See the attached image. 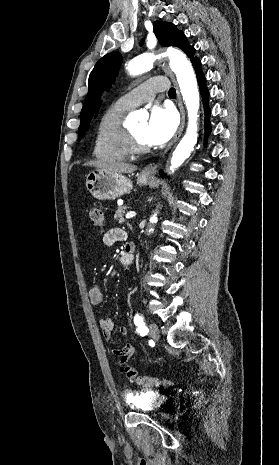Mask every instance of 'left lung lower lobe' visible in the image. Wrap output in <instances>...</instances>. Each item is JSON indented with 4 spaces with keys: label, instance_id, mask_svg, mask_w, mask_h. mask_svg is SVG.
Listing matches in <instances>:
<instances>
[{
    "label": "left lung lower lobe",
    "instance_id": "0a47b994",
    "mask_svg": "<svg viewBox=\"0 0 279 465\" xmlns=\"http://www.w3.org/2000/svg\"><path fill=\"white\" fill-rule=\"evenodd\" d=\"M192 65H193V67L195 69L198 84H199L200 91H201V95L203 97V103H204V108H205V112H206V117H205V132L206 133H205V137H207L208 134L211 131V127H210V124H209L208 91H207V88H206V85H205L206 81H205L204 74L201 71V62H200V60L197 58L196 60L192 61ZM160 175H161V177L165 176L163 172H161Z\"/></svg>",
    "mask_w": 279,
    "mask_h": 465
}]
</instances>
